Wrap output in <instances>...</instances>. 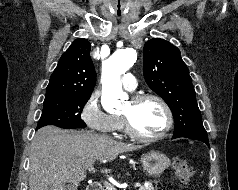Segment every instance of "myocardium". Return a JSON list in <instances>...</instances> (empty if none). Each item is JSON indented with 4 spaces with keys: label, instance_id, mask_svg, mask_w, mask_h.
<instances>
[{
    "label": "myocardium",
    "instance_id": "obj_1",
    "mask_svg": "<svg viewBox=\"0 0 238 190\" xmlns=\"http://www.w3.org/2000/svg\"><path fill=\"white\" fill-rule=\"evenodd\" d=\"M145 100H154L162 107L166 117V124L163 130L156 135L142 134L134 128L129 115L121 114L120 118L123 123L124 130L129 136L140 141L152 142V141L163 139L165 136H167V134L170 132V130L173 127L174 120H173L172 110L162 97L153 93L136 94L131 97L130 102L132 105H137Z\"/></svg>",
    "mask_w": 238,
    "mask_h": 190
}]
</instances>
